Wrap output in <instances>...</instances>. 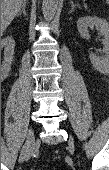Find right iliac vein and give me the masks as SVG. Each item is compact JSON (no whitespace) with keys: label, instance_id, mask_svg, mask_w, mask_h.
Returning <instances> with one entry per match:
<instances>
[{"label":"right iliac vein","instance_id":"obj_1","mask_svg":"<svg viewBox=\"0 0 109 170\" xmlns=\"http://www.w3.org/2000/svg\"><path fill=\"white\" fill-rule=\"evenodd\" d=\"M25 146L26 149H25L24 159L28 161L31 158L35 147V136H34V130L32 128L29 129Z\"/></svg>","mask_w":109,"mask_h":170}]
</instances>
